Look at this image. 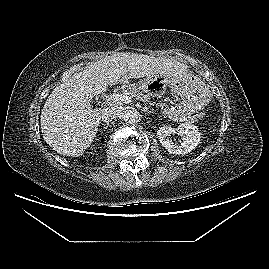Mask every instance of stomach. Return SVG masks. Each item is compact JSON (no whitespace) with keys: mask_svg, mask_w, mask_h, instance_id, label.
Masks as SVG:
<instances>
[{"mask_svg":"<svg viewBox=\"0 0 269 269\" xmlns=\"http://www.w3.org/2000/svg\"><path fill=\"white\" fill-rule=\"evenodd\" d=\"M139 85L150 95L159 94L169 86L179 97L176 105L179 116L187 121L195 120V114L207 106L211 98V92L205 82L187 73L177 77L153 74L141 80Z\"/></svg>","mask_w":269,"mask_h":269,"instance_id":"1","label":"stomach"}]
</instances>
